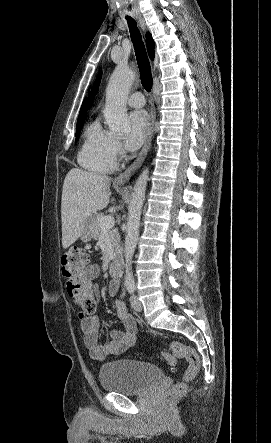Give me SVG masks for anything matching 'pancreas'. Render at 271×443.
Masks as SVG:
<instances>
[{
    "instance_id": "cf45deb5",
    "label": "pancreas",
    "mask_w": 271,
    "mask_h": 443,
    "mask_svg": "<svg viewBox=\"0 0 271 443\" xmlns=\"http://www.w3.org/2000/svg\"><path fill=\"white\" fill-rule=\"evenodd\" d=\"M101 218H105L104 214H96V218L93 223V225H94V233H93L94 239H98V237H101V233H104V231H107V233L111 239L112 247H115V249H118V245H117V237L119 235L118 229H112V227H109V229H104L103 225H100Z\"/></svg>"
}]
</instances>
